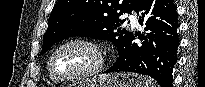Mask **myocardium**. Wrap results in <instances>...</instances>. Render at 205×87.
Masks as SVG:
<instances>
[{
  "mask_svg": "<svg viewBox=\"0 0 205 87\" xmlns=\"http://www.w3.org/2000/svg\"><path fill=\"white\" fill-rule=\"evenodd\" d=\"M70 45H83L90 48L95 54L96 61L95 64L89 70H86L76 75L60 77L54 72L53 62L56 55L59 53V51ZM104 64H105V55L101 46L97 42L91 39L78 37V38H72L64 41L52 51L48 61V70H49L50 77L53 80L62 83H69V82L87 80L97 76L103 70Z\"/></svg>",
  "mask_w": 205,
  "mask_h": 87,
  "instance_id": "obj_1",
  "label": "myocardium"
}]
</instances>
